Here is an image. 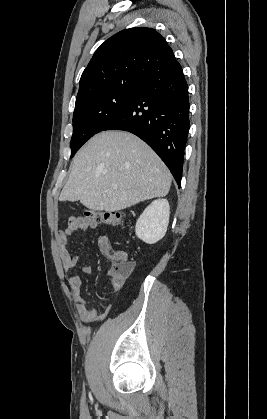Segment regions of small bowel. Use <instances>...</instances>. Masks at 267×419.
Instances as JSON below:
<instances>
[{
	"instance_id": "obj_1",
	"label": "small bowel",
	"mask_w": 267,
	"mask_h": 419,
	"mask_svg": "<svg viewBox=\"0 0 267 419\" xmlns=\"http://www.w3.org/2000/svg\"><path fill=\"white\" fill-rule=\"evenodd\" d=\"M98 224L99 223L89 217L71 216L69 217L65 227L57 232L56 240L65 272H72L79 262V257L72 255L68 248L70 237L79 230L96 229ZM98 246L102 254L105 256L112 257L114 254L110 240L105 234H101L98 237ZM82 272L84 274H91L92 267L86 265L82 268ZM109 276L111 278L113 290H120L126 281V277H118L111 273H109ZM69 286L74 295L76 310L83 322L102 320L108 315L111 305L107 302H103L97 307L88 306L87 302L81 296L82 280L78 275L70 276Z\"/></svg>"
}]
</instances>
